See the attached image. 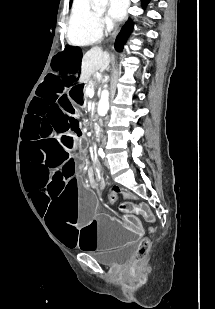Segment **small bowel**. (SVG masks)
<instances>
[{"mask_svg": "<svg viewBox=\"0 0 215 309\" xmlns=\"http://www.w3.org/2000/svg\"><path fill=\"white\" fill-rule=\"evenodd\" d=\"M146 217V219L148 220V221H153L154 220V218H153V215L149 212V214L147 215V216H145Z\"/></svg>", "mask_w": 215, "mask_h": 309, "instance_id": "c3829d8e", "label": "small bowel"}]
</instances>
